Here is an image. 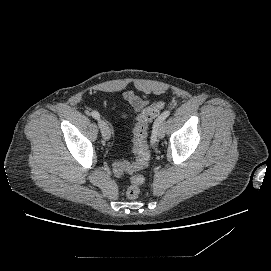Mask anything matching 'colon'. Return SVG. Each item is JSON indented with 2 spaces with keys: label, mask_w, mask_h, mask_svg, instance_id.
<instances>
[{
  "label": "colon",
  "mask_w": 271,
  "mask_h": 271,
  "mask_svg": "<svg viewBox=\"0 0 271 271\" xmlns=\"http://www.w3.org/2000/svg\"><path fill=\"white\" fill-rule=\"evenodd\" d=\"M164 108L165 103L158 100L140 112L137 125L134 129L133 151L136 156L135 161H119L113 165V172L116 176L124 177L127 174H131L129 177L130 184L126 191V195L129 199H136L140 194V188L144 182V178L140 174L132 173L148 165L150 159L148 149V126Z\"/></svg>",
  "instance_id": "1"
}]
</instances>
